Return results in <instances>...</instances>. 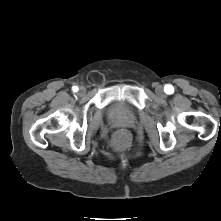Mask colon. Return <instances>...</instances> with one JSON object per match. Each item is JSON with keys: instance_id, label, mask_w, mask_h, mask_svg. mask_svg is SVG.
Returning a JSON list of instances; mask_svg holds the SVG:
<instances>
[{"instance_id": "colon-1", "label": "colon", "mask_w": 221, "mask_h": 221, "mask_svg": "<svg viewBox=\"0 0 221 221\" xmlns=\"http://www.w3.org/2000/svg\"><path fill=\"white\" fill-rule=\"evenodd\" d=\"M130 140V133L125 129H120L113 135L112 144L116 149H124L129 145Z\"/></svg>"}]
</instances>
